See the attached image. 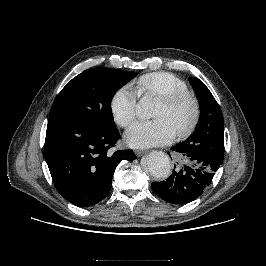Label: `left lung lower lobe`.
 Segmentation results:
<instances>
[{"label":"left lung lower lobe","instance_id":"obj_1","mask_svg":"<svg viewBox=\"0 0 266 266\" xmlns=\"http://www.w3.org/2000/svg\"><path fill=\"white\" fill-rule=\"evenodd\" d=\"M171 150L182 153L184 164L173 170L162 182H152L153 191L172 204H186L198 198L212 181L221 164L195 153L186 152L180 145Z\"/></svg>","mask_w":266,"mask_h":266}]
</instances>
